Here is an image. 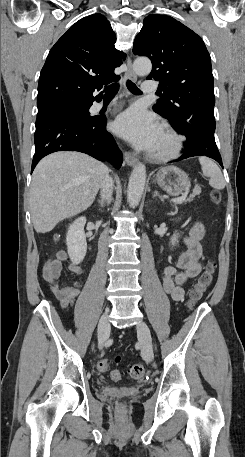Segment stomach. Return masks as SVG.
<instances>
[{
	"instance_id": "obj_1",
	"label": "stomach",
	"mask_w": 245,
	"mask_h": 457,
	"mask_svg": "<svg viewBox=\"0 0 245 457\" xmlns=\"http://www.w3.org/2000/svg\"><path fill=\"white\" fill-rule=\"evenodd\" d=\"M154 180L161 188L167 190L168 194L176 196L187 186L189 176L187 172H184L178 166H163L158 170Z\"/></svg>"
}]
</instances>
